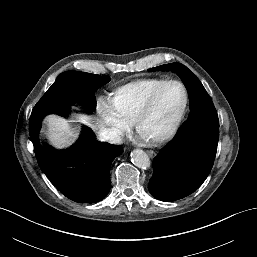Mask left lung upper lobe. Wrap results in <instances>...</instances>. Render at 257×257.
<instances>
[{
    "instance_id": "5c2ea615",
    "label": "left lung upper lobe",
    "mask_w": 257,
    "mask_h": 257,
    "mask_svg": "<svg viewBox=\"0 0 257 257\" xmlns=\"http://www.w3.org/2000/svg\"><path fill=\"white\" fill-rule=\"evenodd\" d=\"M172 69L178 72L185 82L190 99V114L186 122L178 130L173 140L200 133L202 128L219 129V120L214 104L199 79L184 65L171 63L150 70Z\"/></svg>"
}]
</instances>
